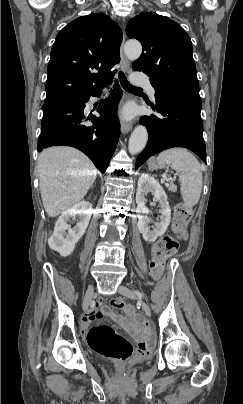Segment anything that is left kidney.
Returning <instances> with one entry per match:
<instances>
[{
  "label": "left kidney",
  "instance_id": "left-kidney-1",
  "mask_svg": "<svg viewBox=\"0 0 243 404\" xmlns=\"http://www.w3.org/2000/svg\"><path fill=\"white\" fill-rule=\"evenodd\" d=\"M148 192H152L154 194V198L158 200L160 204V220L155 224V228L150 230L149 222L147 218V214H149L148 208H146L145 204V196ZM136 212L138 218V230L140 234H143V238L145 242H149V244H153L155 240H157L158 236H163L165 234L171 220V210L169 206V202L167 200V194L164 192L162 186H160L159 182H156L154 178L148 176V174H142L138 180V188L136 194Z\"/></svg>",
  "mask_w": 243,
  "mask_h": 404
}]
</instances>
